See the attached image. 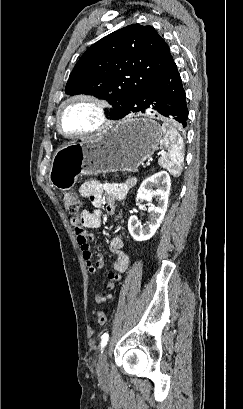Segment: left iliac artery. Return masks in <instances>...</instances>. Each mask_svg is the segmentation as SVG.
<instances>
[{"instance_id":"obj_1","label":"left iliac artery","mask_w":243,"mask_h":409,"mask_svg":"<svg viewBox=\"0 0 243 409\" xmlns=\"http://www.w3.org/2000/svg\"><path fill=\"white\" fill-rule=\"evenodd\" d=\"M108 339H109L108 333H104V334L102 335V339H101V343H100L101 350L106 346V344H107V342H108Z\"/></svg>"}]
</instances>
